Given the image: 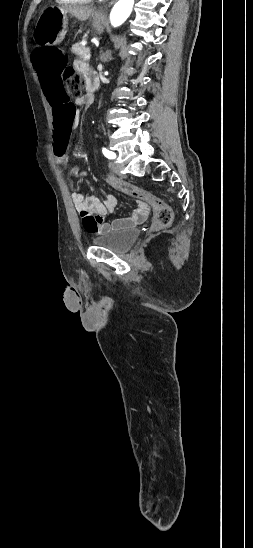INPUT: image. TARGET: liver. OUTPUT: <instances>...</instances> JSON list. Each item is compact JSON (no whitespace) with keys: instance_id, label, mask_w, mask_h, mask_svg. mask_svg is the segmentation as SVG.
Segmentation results:
<instances>
[{"instance_id":"6515ba94","label":"liver","mask_w":253,"mask_h":548,"mask_svg":"<svg viewBox=\"0 0 253 548\" xmlns=\"http://www.w3.org/2000/svg\"><path fill=\"white\" fill-rule=\"evenodd\" d=\"M59 9L66 14L70 13L73 17L77 18L80 21L88 20L95 12V10L90 7L78 5L60 7Z\"/></svg>"}]
</instances>
